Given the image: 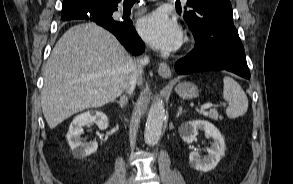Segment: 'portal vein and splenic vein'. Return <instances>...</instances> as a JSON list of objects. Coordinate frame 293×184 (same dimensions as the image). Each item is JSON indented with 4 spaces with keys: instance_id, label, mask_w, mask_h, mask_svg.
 Returning <instances> with one entry per match:
<instances>
[{
    "instance_id": "1",
    "label": "portal vein and splenic vein",
    "mask_w": 293,
    "mask_h": 184,
    "mask_svg": "<svg viewBox=\"0 0 293 184\" xmlns=\"http://www.w3.org/2000/svg\"><path fill=\"white\" fill-rule=\"evenodd\" d=\"M213 106L212 103H207L201 106L202 110L210 109Z\"/></svg>"
}]
</instances>
